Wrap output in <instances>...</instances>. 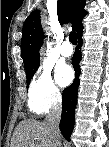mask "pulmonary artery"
Instances as JSON below:
<instances>
[{"mask_svg": "<svg viewBox=\"0 0 109 147\" xmlns=\"http://www.w3.org/2000/svg\"><path fill=\"white\" fill-rule=\"evenodd\" d=\"M60 53L63 57H70L73 53V48L69 41H64L60 46Z\"/></svg>", "mask_w": 109, "mask_h": 147, "instance_id": "e3ab8cb5", "label": "pulmonary artery"}]
</instances>
